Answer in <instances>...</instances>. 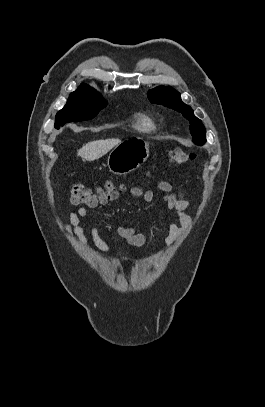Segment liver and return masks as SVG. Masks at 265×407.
Listing matches in <instances>:
<instances>
[{
  "instance_id": "obj_1",
  "label": "liver",
  "mask_w": 265,
  "mask_h": 407,
  "mask_svg": "<svg viewBox=\"0 0 265 407\" xmlns=\"http://www.w3.org/2000/svg\"><path fill=\"white\" fill-rule=\"evenodd\" d=\"M120 143H122L121 140L116 138L91 141L79 149L77 155L84 160L94 161L104 156Z\"/></svg>"
}]
</instances>
